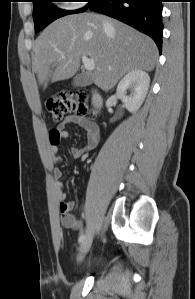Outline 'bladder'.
Returning a JSON list of instances; mask_svg holds the SVG:
<instances>
[{
  "label": "bladder",
  "instance_id": "obj_1",
  "mask_svg": "<svg viewBox=\"0 0 195 299\" xmlns=\"http://www.w3.org/2000/svg\"><path fill=\"white\" fill-rule=\"evenodd\" d=\"M104 267H105L104 261L99 257H95L89 262L85 271L89 273H98L102 271Z\"/></svg>",
  "mask_w": 195,
  "mask_h": 299
}]
</instances>
